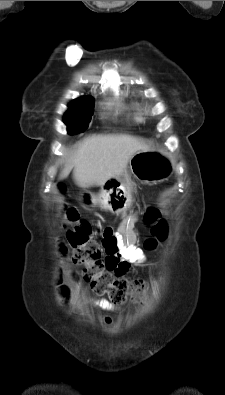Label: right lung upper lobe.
<instances>
[{"label":"right lung upper lobe","instance_id":"obj_1","mask_svg":"<svg viewBox=\"0 0 225 395\" xmlns=\"http://www.w3.org/2000/svg\"><path fill=\"white\" fill-rule=\"evenodd\" d=\"M82 98H92V97H82Z\"/></svg>","mask_w":225,"mask_h":395}]
</instances>
